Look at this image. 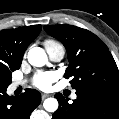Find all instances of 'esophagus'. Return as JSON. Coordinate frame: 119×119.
I'll return each instance as SVG.
<instances>
[{
	"label": "esophagus",
	"instance_id": "obj_1",
	"mask_svg": "<svg viewBox=\"0 0 119 119\" xmlns=\"http://www.w3.org/2000/svg\"><path fill=\"white\" fill-rule=\"evenodd\" d=\"M49 95L48 94H45V93H42L41 94V97H42V99L44 100L45 98H47Z\"/></svg>",
	"mask_w": 119,
	"mask_h": 119
}]
</instances>
